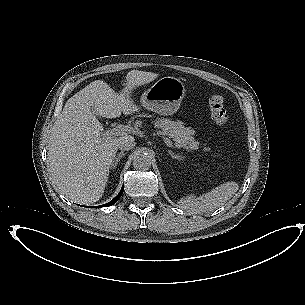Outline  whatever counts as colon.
<instances>
[{"label":"colon","mask_w":305,"mask_h":305,"mask_svg":"<svg viewBox=\"0 0 305 305\" xmlns=\"http://www.w3.org/2000/svg\"><path fill=\"white\" fill-rule=\"evenodd\" d=\"M209 105L213 120L219 125L226 124L228 121V114L224 108L223 97L219 95L213 96L210 99Z\"/></svg>","instance_id":"1"}]
</instances>
